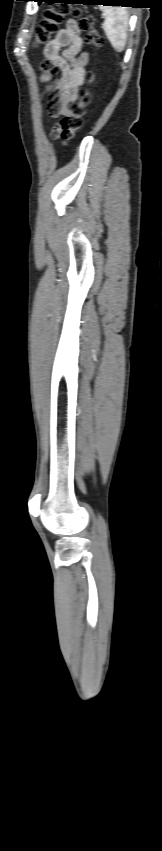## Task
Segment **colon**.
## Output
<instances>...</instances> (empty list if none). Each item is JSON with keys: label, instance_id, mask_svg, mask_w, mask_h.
I'll list each match as a JSON object with an SVG mask.
<instances>
[{"label": "colon", "instance_id": "1", "mask_svg": "<svg viewBox=\"0 0 162 851\" xmlns=\"http://www.w3.org/2000/svg\"><path fill=\"white\" fill-rule=\"evenodd\" d=\"M72 13L79 19L81 30L86 33L87 44L93 47L103 45V37L95 28V19L90 15H82L80 9L70 10L67 6L58 4L45 10L43 19L35 31V45L46 44L52 35L58 30L63 18ZM93 76L89 75L88 81L92 82ZM92 95L89 88H83L79 92L78 100L72 103L67 114L63 115L55 128V134L66 144L72 141L83 124V118L87 106L91 103Z\"/></svg>", "mask_w": 162, "mask_h": 851}]
</instances>
